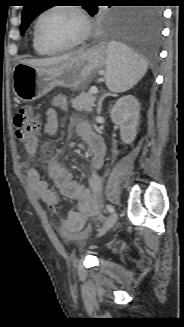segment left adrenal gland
<instances>
[{"label": "left adrenal gland", "mask_w": 184, "mask_h": 327, "mask_svg": "<svg viewBox=\"0 0 184 327\" xmlns=\"http://www.w3.org/2000/svg\"><path fill=\"white\" fill-rule=\"evenodd\" d=\"M110 95H111L110 93H106V94H104V95L99 99V102H98V108H97V113H98V114L101 113L102 102H103V100H104L107 96H110Z\"/></svg>", "instance_id": "a2214340"}]
</instances>
